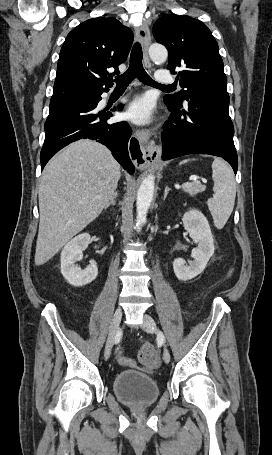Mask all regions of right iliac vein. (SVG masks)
Returning a JSON list of instances; mask_svg holds the SVG:
<instances>
[{"label": "right iliac vein", "mask_w": 272, "mask_h": 455, "mask_svg": "<svg viewBox=\"0 0 272 455\" xmlns=\"http://www.w3.org/2000/svg\"><path fill=\"white\" fill-rule=\"evenodd\" d=\"M121 318H122V310H121V308H117L114 312V315H113V318L111 321V325L109 328V335H108V339H107L106 346L104 349V358L106 360H108L111 355V350H112V347L114 344L115 335L119 328Z\"/></svg>", "instance_id": "right-iliac-vein-1"}]
</instances>
